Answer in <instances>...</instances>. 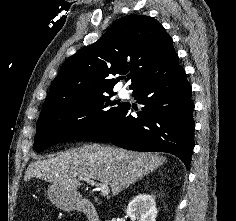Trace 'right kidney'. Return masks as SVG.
<instances>
[{
    "mask_svg": "<svg viewBox=\"0 0 236 221\" xmlns=\"http://www.w3.org/2000/svg\"><path fill=\"white\" fill-rule=\"evenodd\" d=\"M127 216L132 221H155L157 208L155 199L149 194H139L128 204Z\"/></svg>",
    "mask_w": 236,
    "mask_h": 221,
    "instance_id": "1",
    "label": "right kidney"
}]
</instances>
